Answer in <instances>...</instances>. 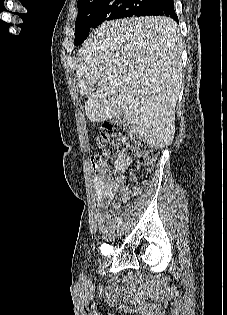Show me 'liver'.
<instances>
[{
    "label": "liver",
    "instance_id": "liver-1",
    "mask_svg": "<svg viewBox=\"0 0 227 315\" xmlns=\"http://www.w3.org/2000/svg\"><path fill=\"white\" fill-rule=\"evenodd\" d=\"M182 61V38L171 18L103 23L79 51L76 75L80 95L87 96L86 116L103 122L125 113L140 140L156 148L170 145Z\"/></svg>",
    "mask_w": 227,
    "mask_h": 315
}]
</instances>
